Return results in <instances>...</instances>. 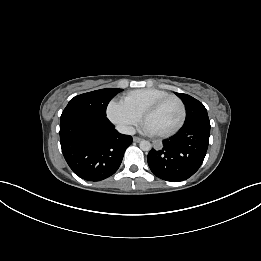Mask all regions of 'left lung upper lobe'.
<instances>
[{
  "instance_id": "obj_1",
  "label": "left lung upper lobe",
  "mask_w": 261,
  "mask_h": 261,
  "mask_svg": "<svg viewBox=\"0 0 261 261\" xmlns=\"http://www.w3.org/2000/svg\"><path fill=\"white\" fill-rule=\"evenodd\" d=\"M177 95L183 100L186 107V119L184 124L209 119L207 110L201 102L187 94L177 93Z\"/></svg>"
}]
</instances>
